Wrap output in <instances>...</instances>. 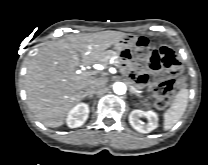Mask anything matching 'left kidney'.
<instances>
[{"instance_id": "1", "label": "left kidney", "mask_w": 208, "mask_h": 165, "mask_svg": "<svg viewBox=\"0 0 208 165\" xmlns=\"http://www.w3.org/2000/svg\"><path fill=\"white\" fill-rule=\"evenodd\" d=\"M141 117H145L148 122L140 121ZM129 123L136 131L149 133L158 127V115L152 110H133L129 114Z\"/></svg>"}]
</instances>
